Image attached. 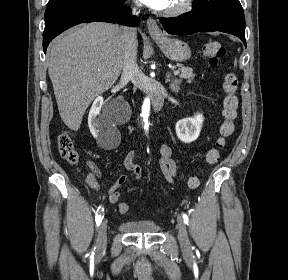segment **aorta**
<instances>
[{
  "label": "aorta",
  "mask_w": 288,
  "mask_h": 280,
  "mask_svg": "<svg viewBox=\"0 0 288 280\" xmlns=\"http://www.w3.org/2000/svg\"><path fill=\"white\" fill-rule=\"evenodd\" d=\"M141 111H139V118L140 120H145V116H150V99L147 98L144 101L143 106H141ZM138 126H144V136H149V126H150V121H138Z\"/></svg>",
  "instance_id": "aorta-1"
}]
</instances>
